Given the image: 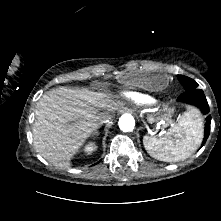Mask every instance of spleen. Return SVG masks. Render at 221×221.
I'll list each match as a JSON object with an SVG mask.
<instances>
[{"label": "spleen", "instance_id": "3e777b00", "mask_svg": "<svg viewBox=\"0 0 221 221\" xmlns=\"http://www.w3.org/2000/svg\"><path fill=\"white\" fill-rule=\"evenodd\" d=\"M203 128L199 110L188 107L164 136L159 138L144 136L143 144L153 158L177 162L188 158L198 148L202 142Z\"/></svg>", "mask_w": 221, "mask_h": 221}]
</instances>
